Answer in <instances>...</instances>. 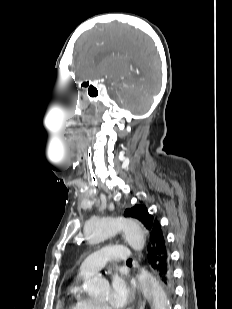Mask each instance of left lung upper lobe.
I'll return each mask as SVG.
<instances>
[{
  "instance_id": "1",
  "label": "left lung upper lobe",
  "mask_w": 232,
  "mask_h": 309,
  "mask_svg": "<svg viewBox=\"0 0 232 309\" xmlns=\"http://www.w3.org/2000/svg\"><path fill=\"white\" fill-rule=\"evenodd\" d=\"M124 215L126 217H132L139 220L147 231L148 239L153 233V230L158 224V220L149 214L147 208L144 205H135L132 208L126 209ZM170 292V291H168Z\"/></svg>"
}]
</instances>
